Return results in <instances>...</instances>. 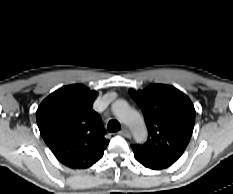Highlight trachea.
I'll list each match as a JSON object with an SVG mask.
<instances>
[{"instance_id":"1","label":"trachea","mask_w":233,"mask_h":194,"mask_svg":"<svg viewBox=\"0 0 233 194\" xmlns=\"http://www.w3.org/2000/svg\"><path fill=\"white\" fill-rule=\"evenodd\" d=\"M109 132H117L120 130L121 126L117 120H110L107 125Z\"/></svg>"}]
</instances>
